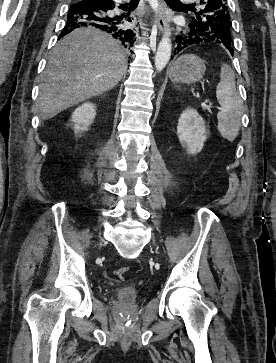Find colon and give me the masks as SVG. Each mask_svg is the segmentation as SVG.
<instances>
[{"label":"colon","mask_w":276,"mask_h":363,"mask_svg":"<svg viewBox=\"0 0 276 363\" xmlns=\"http://www.w3.org/2000/svg\"><path fill=\"white\" fill-rule=\"evenodd\" d=\"M129 271V267H122L116 271L118 276H124Z\"/></svg>","instance_id":"5ec220e1"}]
</instances>
